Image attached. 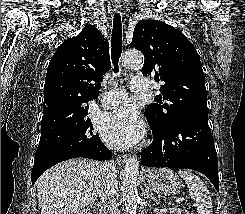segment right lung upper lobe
Segmentation results:
<instances>
[{"label": "right lung upper lobe", "mask_w": 245, "mask_h": 214, "mask_svg": "<svg viewBox=\"0 0 245 214\" xmlns=\"http://www.w3.org/2000/svg\"><path fill=\"white\" fill-rule=\"evenodd\" d=\"M111 68L107 39L93 25L65 40L51 58L44 85L41 130L88 112L98 98L103 75Z\"/></svg>", "instance_id": "right-lung-upper-lobe-1"}]
</instances>
